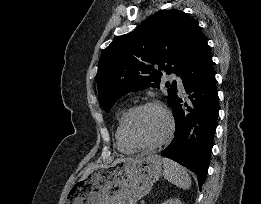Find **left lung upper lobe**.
<instances>
[{
	"label": "left lung upper lobe",
	"mask_w": 261,
	"mask_h": 204,
	"mask_svg": "<svg viewBox=\"0 0 261 204\" xmlns=\"http://www.w3.org/2000/svg\"><path fill=\"white\" fill-rule=\"evenodd\" d=\"M200 30L198 23L180 10L150 16L135 31L114 40L101 54L97 87L101 107L108 112L123 95L159 87L164 74L179 75ZM172 104L176 83L166 85Z\"/></svg>",
	"instance_id": "1"
}]
</instances>
